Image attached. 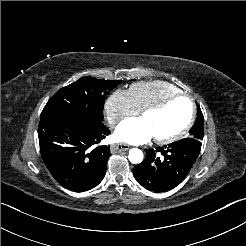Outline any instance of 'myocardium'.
<instances>
[{
	"mask_svg": "<svg viewBox=\"0 0 246 246\" xmlns=\"http://www.w3.org/2000/svg\"><path fill=\"white\" fill-rule=\"evenodd\" d=\"M177 98H186V99H188V101L190 103V114H189V117L187 119V122L179 131H177L176 133H174L168 137H163V138L156 137V138H154V141L158 144L165 145V144L172 143V142L178 140L179 138H181L192 127L194 119H195V106H194L193 99L191 98V96H189L186 93H177L175 95H172V96L164 99L163 101H161L157 104H153V105H150V106L144 108L140 112V116L142 117L143 115H145L149 112L160 111L164 107H166L171 101H173Z\"/></svg>",
	"mask_w": 246,
	"mask_h": 246,
	"instance_id": "obj_1",
	"label": "myocardium"
}]
</instances>
